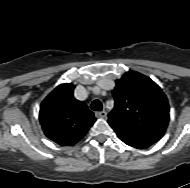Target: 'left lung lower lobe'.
<instances>
[{
  "instance_id": "1",
  "label": "left lung lower lobe",
  "mask_w": 190,
  "mask_h": 188,
  "mask_svg": "<svg viewBox=\"0 0 190 188\" xmlns=\"http://www.w3.org/2000/svg\"><path fill=\"white\" fill-rule=\"evenodd\" d=\"M111 127L125 144L138 149L148 148L162 138L160 135L137 132L121 126Z\"/></svg>"
}]
</instances>
